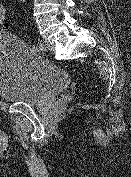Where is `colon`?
<instances>
[{
  "instance_id": "1",
  "label": "colon",
  "mask_w": 131,
  "mask_h": 177,
  "mask_svg": "<svg viewBox=\"0 0 131 177\" xmlns=\"http://www.w3.org/2000/svg\"><path fill=\"white\" fill-rule=\"evenodd\" d=\"M0 26H7L6 24V9H5V5L2 2V0H0Z\"/></svg>"
}]
</instances>
